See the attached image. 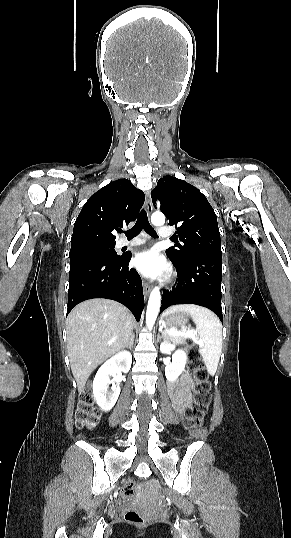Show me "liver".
I'll use <instances>...</instances> for the list:
<instances>
[{"mask_svg":"<svg viewBox=\"0 0 291 538\" xmlns=\"http://www.w3.org/2000/svg\"><path fill=\"white\" fill-rule=\"evenodd\" d=\"M67 349L79 392L91 373L120 351L132 335V316L113 300L92 299L77 305L66 320Z\"/></svg>","mask_w":291,"mask_h":538,"instance_id":"6515ba94","label":"liver"}]
</instances>
